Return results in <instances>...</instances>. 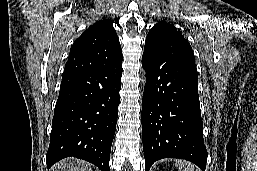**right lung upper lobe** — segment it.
<instances>
[{
    "label": "right lung upper lobe",
    "instance_id": "obj_1",
    "mask_svg": "<svg viewBox=\"0 0 257 171\" xmlns=\"http://www.w3.org/2000/svg\"><path fill=\"white\" fill-rule=\"evenodd\" d=\"M121 61V46L113 23L103 19L91 25L75 40L63 75L96 71Z\"/></svg>",
    "mask_w": 257,
    "mask_h": 171
}]
</instances>
